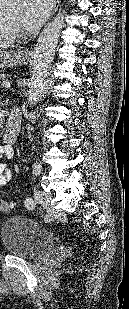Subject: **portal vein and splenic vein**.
Returning a JSON list of instances; mask_svg holds the SVG:
<instances>
[{
	"mask_svg": "<svg viewBox=\"0 0 129 309\" xmlns=\"http://www.w3.org/2000/svg\"><path fill=\"white\" fill-rule=\"evenodd\" d=\"M2 85H3L4 87H10V83H9V82H3Z\"/></svg>",
	"mask_w": 129,
	"mask_h": 309,
	"instance_id": "18ae733b",
	"label": "portal vein and splenic vein"
}]
</instances>
